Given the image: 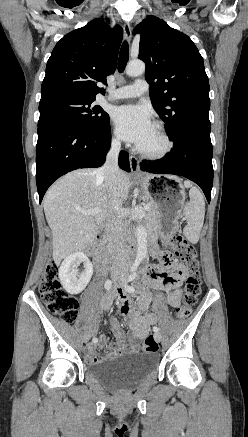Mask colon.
<instances>
[{
	"label": "colon",
	"mask_w": 248,
	"mask_h": 437,
	"mask_svg": "<svg viewBox=\"0 0 248 437\" xmlns=\"http://www.w3.org/2000/svg\"><path fill=\"white\" fill-rule=\"evenodd\" d=\"M170 244L175 250L177 258L183 262L189 270L186 280L185 294L181 306L176 309L179 319L187 318L192 308L197 303L201 294V274L195 247L182 235L174 234L170 238ZM39 293L48 310L60 317L67 323L73 322L77 317L78 300L68 294L62 287L59 278V266L55 262L48 264L44 276L39 284ZM159 345L154 336L145 338L143 350L145 352L158 351Z\"/></svg>",
	"instance_id": "colon-1"
}]
</instances>
